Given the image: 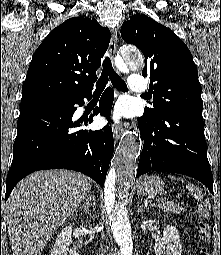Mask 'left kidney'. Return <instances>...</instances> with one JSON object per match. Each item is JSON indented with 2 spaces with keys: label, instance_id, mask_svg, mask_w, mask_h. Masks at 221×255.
Masks as SVG:
<instances>
[{
  "label": "left kidney",
  "instance_id": "5707ae66",
  "mask_svg": "<svg viewBox=\"0 0 221 255\" xmlns=\"http://www.w3.org/2000/svg\"><path fill=\"white\" fill-rule=\"evenodd\" d=\"M156 255H181L182 245L178 230L174 226H166L163 237L154 246Z\"/></svg>",
  "mask_w": 221,
  "mask_h": 255
}]
</instances>
